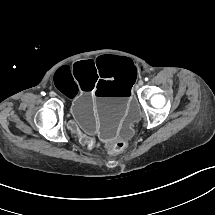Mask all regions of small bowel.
I'll return each instance as SVG.
<instances>
[{"instance_id": "obj_1", "label": "small bowel", "mask_w": 215, "mask_h": 215, "mask_svg": "<svg viewBox=\"0 0 215 215\" xmlns=\"http://www.w3.org/2000/svg\"><path fill=\"white\" fill-rule=\"evenodd\" d=\"M70 127L76 129V126L73 123L70 124Z\"/></svg>"}]
</instances>
